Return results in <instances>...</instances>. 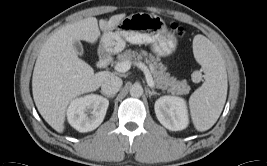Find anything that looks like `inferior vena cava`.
Masks as SVG:
<instances>
[{"mask_svg": "<svg viewBox=\"0 0 267 166\" xmlns=\"http://www.w3.org/2000/svg\"><path fill=\"white\" fill-rule=\"evenodd\" d=\"M122 86V79L111 75L107 77L101 85V90L105 95H115Z\"/></svg>", "mask_w": 267, "mask_h": 166, "instance_id": "1", "label": "inferior vena cava"}]
</instances>
